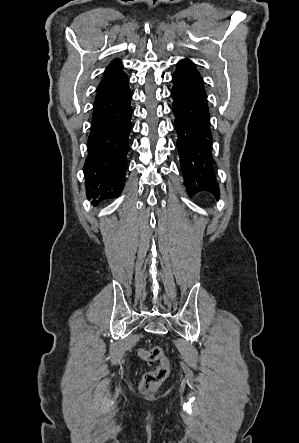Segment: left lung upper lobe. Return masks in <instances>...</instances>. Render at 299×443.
<instances>
[{
    "instance_id": "5c2ea615",
    "label": "left lung upper lobe",
    "mask_w": 299,
    "mask_h": 443,
    "mask_svg": "<svg viewBox=\"0 0 299 443\" xmlns=\"http://www.w3.org/2000/svg\"><path fill=\"white\" fill-rule=\"evenodd\" d=\"M188 62H190L193 65V63L190 60H188Z\"/></svg>"
}]
</instances>
